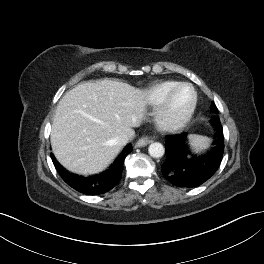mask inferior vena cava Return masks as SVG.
<instances>
[{
    "mask_svg": "<svg viewBox=\"0 0 264 264\" xmlns=\"http://www.w3.org/2000/svg\"><path fill=\"white\" fill-rule=\"evenodd\" d=\"M130 139L131 138H130L129 135L122 134V135H120V136H118L116 138V143L119 144V145H121V146H125L129 142Z\"/></svg>",
    "mask_w": 264,
    "mask_h": 264,
    "instance_id": "602c4592",
    "label": "inferior vena cava"
}]
</instances>
